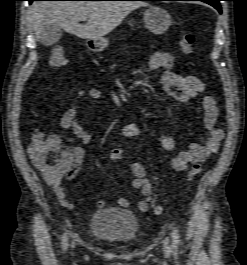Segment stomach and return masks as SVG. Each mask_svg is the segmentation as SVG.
I'll return each instance as SVG.
<instances>
[{
  "label": "stomach",
  "instance_id": "1",
  "mask_svg": "<svg viewBox=\"0 0 247 265\" xmlns=\"http://www.w3.org/2000/svg\"><path fill=\"white\" fill-rule=\"evenodd\" d=\"M144 23L146 28L154 34L164 33L172 23L170 14L159 6H149L144 12ZM108 39L101 38L91 40L89 48L95 52H101L108 46Z\"/></svg>",
  "mask_w": 247,
  "mask_h": 265
}]
</instances>
